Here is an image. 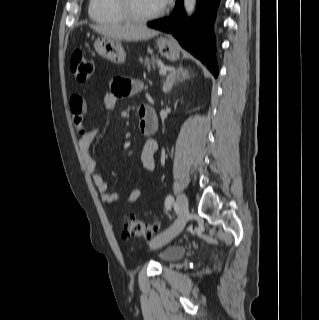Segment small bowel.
<instances>
[{
  "label": "small bowel",
  "instance_id": "small-bowel-1",
  "mask_svg": "<svg viewBox=\"0 0 319 320\" xmlns=\"http://www.w3.org/2000/svg\"><path fill=\"white\" fill-rule=\"evenodd\" d=\"M143 84L140 81L124 77L115 78L111 84V91L104 94L101 104L104 110L111 111L114 109L119 98L129 97L142 91ZM70 111L73 121L79 133L78 146L82 153L84 163L89 172L93 175V181L100 192L103 203L113 204L118 199V194L108 189V184L104 178L97 172V162L91 154V146L98 134L97 129L87 130L83 123L85 113V102L79 95H74L70 100ZM145 106H141L139 111ZM158 151V144L153 139H147L144 142L140 153V163L148 171L155 169V159ZM141 196L139 188H133L125 197V201L133 203Z\"/></svg>",
  "mask_w": 319,
  "mask_h": 320
}]
</instances>
